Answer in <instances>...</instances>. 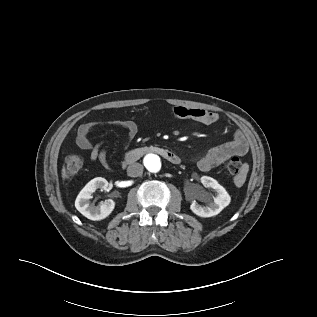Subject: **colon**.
<instances>
[{"instance_id":"colon-1","label":"colon","mask_w":317,"mask_h":317,"mask_svg":"<svg viewBox=\"0 0 317 317\" xmlns=\"http://www.w3.org/2000/svg\"><path fill=\"white\" fill-rule=\"evenodd\" d=\"M83 160L77 154H70L65 159V174L67 177H74L82 168ZM225 171L235 176L238 179H242L245 174L244 164L236 157L230 158L224 165Z\"/></svg>"}]
</instances>
